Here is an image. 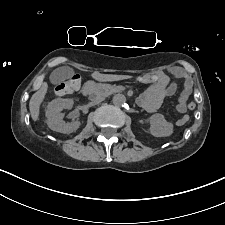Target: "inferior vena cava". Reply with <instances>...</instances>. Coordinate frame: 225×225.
<instances>
[{"label": "inferior vena cava", "mask_w": 225, "mask_h": 225, "mask_svg": "<svg viewBox=\"0 0 225 225\" xmlns=\"http://www.w3.org/2000/svg\"><path fill=\"white\" fill-rule=\"evenodd\" d=\"M104 100L103 97H97V98H94L91 102L92 105H95V104H98L100 102H102Z\"/></svg>", "instance_id": "1"}]
</instances>
